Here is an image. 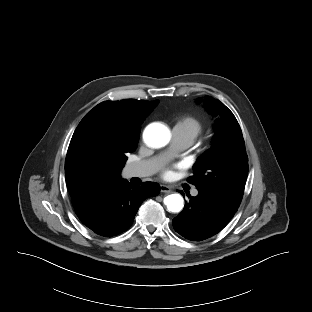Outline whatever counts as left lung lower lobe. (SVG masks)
<instances>
[{
  "instance_id": "obj_1",
  "label": "left lung lower lobe",
  "mask_w": 312,
  "mask_h": 312,
  "mask_svg": "<svg viewBox=\"0 0 312 312\" xmlns=\"http://www.w3.org/2000/svg\"><path fill=\"white\" fill-rule=\"evenodd\" d=\"M190 199L172 222L176 232L192 241H201L220 232L238 209L225 197L209 191L198 190V195Z\"/></svg>"
}]
</instances>
